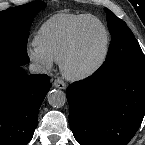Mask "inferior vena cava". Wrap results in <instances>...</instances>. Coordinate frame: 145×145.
Returning <instances> with one entry per match:
<instances>
[{
	"instance_id": "obj_1",
	"label": "inferior vena cava",
	"mask_w": 145,
	"mask_h": 145,
	"mask_svg": "<svg viewBox=\"0 0 145 145\" xmlns=\"http://www.w3.org/2000/svg\"><path fill=\"white\" fill-rule=\"evenodd\" d=\"M29 71L30 73H41V74L46 73L44 67L38 63H31L29 65Z\"/></svg>"
}]
</instances>
